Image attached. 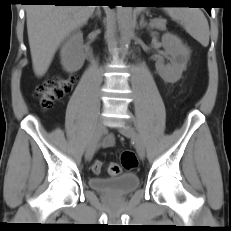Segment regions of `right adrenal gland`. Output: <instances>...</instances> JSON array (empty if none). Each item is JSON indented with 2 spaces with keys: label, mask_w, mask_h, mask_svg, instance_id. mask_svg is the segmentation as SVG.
<instances>
[{
  "label": "right adrenal gland",
  "mask_w": 231,
  "mask_h": 231,
  "mask_svg": "<svg viewBox=\"0 0 231 231\" xmlns=\"http://www.w3.org/2000/svg\"><path fill=\"white\" fill-rule=\"evenodd\" d=\"M94 16H98V18L101 17V10H100V6H97L95 13L91 16V18H93Z\"/></svg>",
  "instance_id": "right-adrenal-gland-1"
}]
</instances>
